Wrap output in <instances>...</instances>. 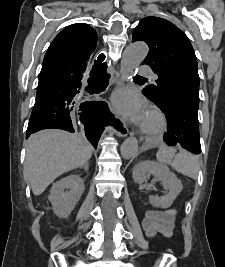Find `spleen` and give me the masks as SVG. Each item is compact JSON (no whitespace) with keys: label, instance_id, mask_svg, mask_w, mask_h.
Here are the masks:
<instances>
[{"label":"spleen","instance_id":"spleen-1","mask_svg":"<svg viewBox=\"0 0 225 267\" xmlns=\"http://www.w3.org/2000/svg\"><path fill=\"white\" fill-rule=\"evenodd\" d=\"M157 161L161 164H169L174 170L192 179H196L199 172L198 160L187 152L180 150L176 154V149L161 146L156 154Z\"/></svg>","mask_w":225,"mask_h":267}]
</instances>
